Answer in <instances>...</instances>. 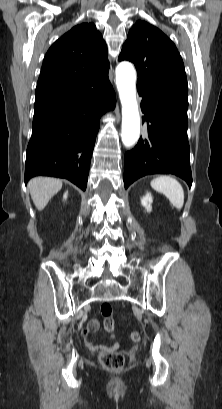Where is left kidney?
<instances>
[{
  "label": "left kidney",
  "mask_w": 222,
  "mask_h": 409,
  "mask_svg": "<svg viewBox=\"0 0 222 409\" xmlns=\"http://www.w3.org/2000/svg\"><path fill=\"white\" fill-rule=\"evenodd\" d=\"M151 203L152 196L149 192H147L146 195L141 199V204L146 208L147 212L151 211Z\"/></svg>",
  "instance_id": "5707ae66"
}]
</instances>
